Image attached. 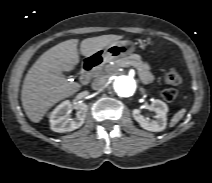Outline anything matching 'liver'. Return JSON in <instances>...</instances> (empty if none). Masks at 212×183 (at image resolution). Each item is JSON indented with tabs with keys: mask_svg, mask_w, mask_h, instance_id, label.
Listing matches in <instances>:
<instances>
[{
	"mask_svg": "<svg viewBox=\"0 0 212 183\" xmlns=\"http://www.w3.org/2000/svg\"><path fill=\"white\" fill-rule=\"evenodd\" d=\"M122 36L102 35L84 39L81 54L90 57ZM78 39L61 42L44 52L29 69L21 91L22 106L34 123L41 121L46 112L59 101L72 96L80 88L77 82H68L63 71H71L79 63Z\"/></svg>",
	"mask_w": 212,
	"mask_h": 183,
	"instance_id": "6515ba94",
	"label": "liver"
}]
</instances>
